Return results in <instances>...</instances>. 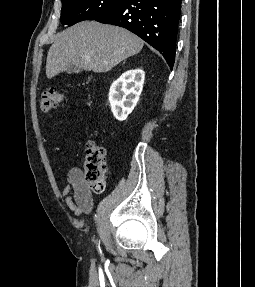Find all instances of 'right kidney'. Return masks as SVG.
Here are the masks:
<instances>
[{
    "label": "right kidney",
    "mask_w": 255,
    "mask_h": 287,
    "mask_svg": "<svg viewBox=\"0 0 255 287\" xmlns=\"http://www.w3.org/2000/svg\"><path fill=\"white\" fill-rule=\"evenodd\" d=\"M143 70H128L113 82L109 92L111 110L119 122H123L134 110L144 84Z\"/></svg>",
    "instance_id": "ca27d5eb"
}]
</instances>
